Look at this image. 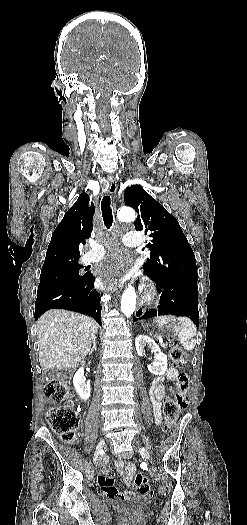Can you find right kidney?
Here are the masks:
<instances>
[{
    "label": "right kidney",
    "instance_id": "ca27d5eb",
    "mask_svg": "<svg viewBox=\"0 0 247 525\" xmlns=\"http://www.w3.org/2000/svg\"><path fill=\"white\" fill-rule=\"evenodd\" d=\"M73 385H74V389L77 393V395H79L80 399H82V401H87V399H89L90 397V393H91V387L89 385V383H87L85 377H84V369L83 367H81V369H78V371H76L74 377H73Z\"/></svg>",
    "mask_w": 247,
    "mask_h": 525
}]
</instances>
